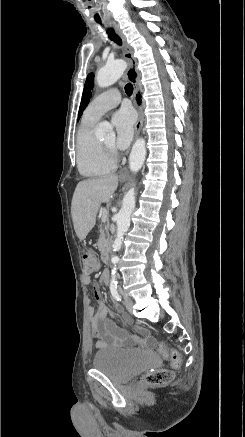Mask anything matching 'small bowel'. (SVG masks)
Returning <instances> with one entry per match:
<instances>
[{"label":"small bowel","instance_id":"small-bowel-1","mask_svg":"<svg viewBox=\"0 0 245 437\" xmlns=\"http://www.w3.org/2000/svg\"><path fill=\"white\" fill-rule=\"evenodd\" d=\"M89 276L84 277L86 284L91 283ZM102 281H104L102 276ZM95 299L97 308L91 316V334L96 339V347L104 349L109 346L117 348L146 347L153 344L152 338L148 333L139 328L138 332L142 337L131 335L125 329L118 326L110 316L121 315L124 322H130V318L123 314L122 309L116 305L115 311H111L103 302L102 291L98 284L94 285Z\"/></svg>","mask_w":245,"mask_h":437}]
</instances>
